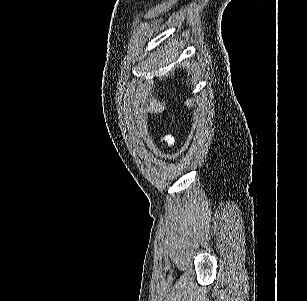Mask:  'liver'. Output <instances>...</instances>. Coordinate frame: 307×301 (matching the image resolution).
Here are the masks:
<instances>
[{
	"label": "liver",
	"instance_id": "liver-1",
	"mask_svg": "<svg viewBox=\"0 0 307 301\" xmlns=\"http://www.w3.org/2000/svg\"><path fill=\"white\" fill-rule=\"evenodd\" d=\"M150 102H148L146 108L147 110H150V112H163L165 108H167V102L164 100V98H155V96H152V98H148ZM164 100V102H163Z\"/></svg>",
	"mask_w": 307,
	"mask_h": 301
}]
</instances>
